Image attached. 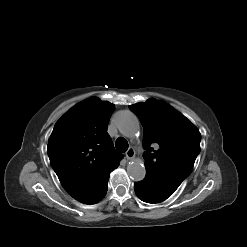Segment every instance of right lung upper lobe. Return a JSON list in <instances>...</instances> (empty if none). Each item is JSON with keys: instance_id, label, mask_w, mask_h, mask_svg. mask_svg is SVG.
Segmentation results:
<instances>
[{"instance_id": "obj_1", "label": "right lung upper lobe", "mask_w": 247, "mask_h": 247, "mask_svg": "<svg viewBox=\"0 0 247 247\" xmlns=\"http://www.w3.org/2000/svg\"><path fill=\"white\" fill-rule=\"evenodd\" d=\"M113 110L109 102L88 98L57 121L49 138L51 166L64 189L78 201L102 182L122 158L107 133Z\"/></svg>"}]
</instances>
